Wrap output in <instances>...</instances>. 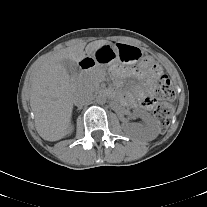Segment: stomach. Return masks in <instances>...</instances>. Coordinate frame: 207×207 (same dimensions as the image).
Wrapping results in <instances>:
<instances>
[{
  "label": "stomach",
  "mask_w": 207,
  "mask_h": 207,
  "mask_svg": "<svg viewBox=\"0 0 207 207\" xmlns=\"http://www.w3.org/2000/svg\"><path fill=\"white\" fill-rule=\"evenodd\" d=\"M90 58L100 66H109L114 63L133 65L145 60L144 53L140 49L124 43L105 44Z\"/></svg>",
  "instance_id": "obj_1"
}]
</instances>
